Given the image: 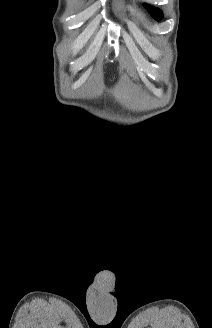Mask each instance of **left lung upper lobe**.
Listing matches in <instances>:
<instances>
[{
  "mask_svg": "<svg viewBox=\"0 0 212 328\" xmlns=\"http://www.w3.org/2000/svg\"><path fill=\"white\" fill-rule=\"evenodd\" d=\"M144 6L155 20L160 21L162 19L163 15L159 9L154 8L148 4H144Z\"/></svg>",
  "mask_w": 212,
  "mask_h": 328,
  "instance_id": "1",
  "label": "left lung upper lobe"
}]
</instances>
